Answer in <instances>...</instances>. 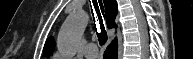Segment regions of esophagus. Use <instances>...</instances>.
I'll return each mask as SVG.
<instances>
[{"label": "esophagus", "mask_w": 193, "mask_h": 59, "mask_svg": "<svg viewBox=\"0 0 193 59\" xmlns=\"http://www.w3.org/2000/svg\"><path fill=\"white\" fill-rule=\"evenodd\" d=\"M98 3V1H96V0H94V3ZM91 5L93 6V1L91 0ZM93 8H94V6H93Z\"/></svg>", "instance_id": "1"}]
</instances>
